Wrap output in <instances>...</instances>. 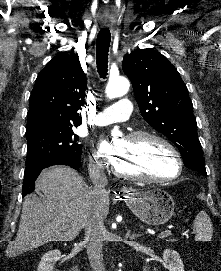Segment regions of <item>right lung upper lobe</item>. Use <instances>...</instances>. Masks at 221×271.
Listing matches in <instances>:
<instances>
[{
  "label": "right lung upper lobe",
  "instance_id": "right-lung-upper-lobe-1",
  "mask_svg": "<svg viewBox=\"0 0 221 271\" xmlns=\"http://www.w3.org/2000/svg\"><path fill=\"white\" fill-rule=\"evenodd\" d=\"M86 76L78 55L54 57L38 74L30 95L26 131L40 126L77 127L84 105Z\"/></svg>",
  "mask_w": 221,
  "mask_h": 271
}]
</instances>
